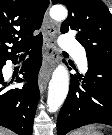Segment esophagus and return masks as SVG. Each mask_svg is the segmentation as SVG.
I'll return each instance as SVG.
<instances>
[{
    "instance_id": "34e87169",
    "label": "esophagus",
    "mask_w": 112,
    "mask_h": 135,
    "mask_svg": "<svg viewBox=\"0 0 112 135\" xmlns=\"http://www.w3.org/2000/svg\"><path fill=\"white\" fill-rule=\"evenodd\" d=\"M42 30L44 33L43 64H42V72L38 81L41 93H43V91L47 86V83L50 79V75L54 68L55 61L57 58L54 38L58 31V25L51 20L49 16V8L47 9L44 16Z\"/></svg>"
}]
</instances>
